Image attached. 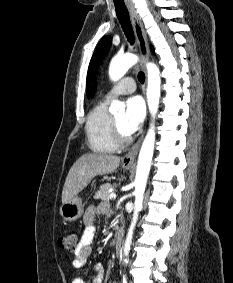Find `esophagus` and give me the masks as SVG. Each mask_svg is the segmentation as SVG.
I'll return each mask as SVG.
<instances>
[{
    "label": "esophagus",
    "mask_w": 233,
    "mask_h": 283,
    "mask_svg": "<svg viewBox=\"0 0 233 283\" xmlns=\"http://www.w3.org/2000/svg\"><path fill=\"white\" fill-rule=\"evenodd\" d=\"M128 10H129L130 18H131V21L134 27L135 35H136L137 42H138L139 49H140V53L142 55L143 60L147 61L150 56V50H149L148 39H147V35L145 32L142 20L133 7H128ZM142 139H143V135L140 137L137 143L129 150V152L122 158L123 163L129 164V163L134 162L138 154Z\"/></svg>",
    "instance_id": "1"
}]
</instances>
